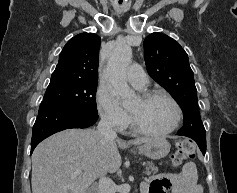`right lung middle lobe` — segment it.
Listing matches in <instances>:
<instances>
[{"label":"right lung middle lobe","mask_w":237,"mask_h":193,"mask_svg":"<svg viewBox=\"0 0 237 193\" xmlns=\"http://www.w3.org/2000/svg\"><path fill=\"white\" fill-rule=\"evenodd\" d=\"M97 81L52 76L41 105L68 109L73 112L97 115Z\"/></svg>","instance_id":"1"}]
</instances>
